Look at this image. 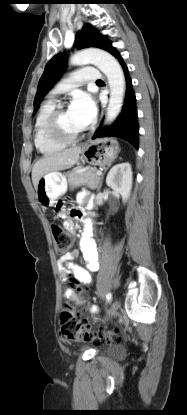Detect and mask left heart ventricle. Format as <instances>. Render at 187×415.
I'll use <instances>...</instances> for the list:
<instances>
[{"label": "left heart ventricle", "instance_id": "b2bd125f", "mask_svg": "<svg viewBox=\"0 0 187 415\" xmlns=\"http://www.w3.org/2000/svg\"><path fill=\"white\" fill-rule=\"evenodd\" d=\"M60 126L68 135H75L84 130L75 117L66 109L60 118Z\"/></svg>", "mask_w": 187, "mask_h": 415}]
</instances>
